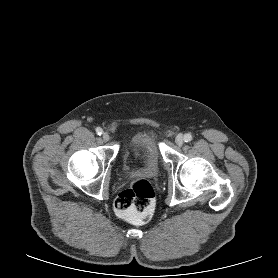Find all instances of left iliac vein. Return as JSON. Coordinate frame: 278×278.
<instances>
[{
	"label": "left iliac vein",
	"mask_w": 278,
	"mask_h": 278,
	"mask_svg": "<svg viewBox=\"0 0 278 278\" xmlns=\"http://www.w3.org/2000/svg\"><path fill=\"white\" fill-rule=\"evenodd\" d=\"M175 143L178 145V146H182L183 143H184V137L182 134H178L175 138Z\"/></svg>",
	"instance_id": "4c4485c4"
}]
</instances>
